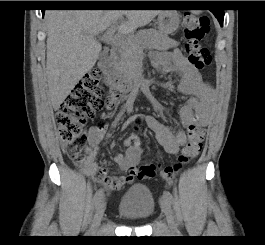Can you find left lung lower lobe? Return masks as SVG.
Instances as JSON below:
<instances>
[{
  "label": "left lung lower lobe",
  "mask_w": 265,
  "mask_h": 245,
  "mask_svg": "<svg viewBox=\"0 0 265 245\" xmlns=\"http://www.w3.org/2000/svg\"><path fill=\"white\" fill-rule=\"evenodd\" d=\"M218 19L221 26H223L224 10L223 9H212L210 10Z\"/></svg>",
  "instance_id": "0a47b994"
}]
</instances>
